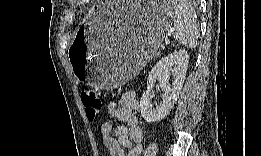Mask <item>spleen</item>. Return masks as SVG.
Returning <instances> with one entry per match:
<instances>
[{
    "mask_svg": "<svg viewBox=\"0 0 261 156\" xmlns=\"http://www.w3.org/2000/svg\"><path fill=\"white\" fill-rule=\"evenodd\" d=\"M175 40L187 48L193 49L197 45L199 30L197 15L189 1L181 0L174 4Z\"/></svg>",
    "mask_w": 261,
    "mask_h": 156,
    "instance_id": "obj_1",
    "label": "spleen"
}]
</instances>
